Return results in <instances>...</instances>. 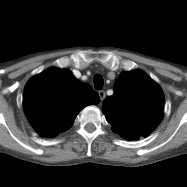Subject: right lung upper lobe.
I'll list each match as a JSON object with an SVG mask.
<instances>
[{"mask_svg": "<svg viewBox=\"0 0 187 187\" xmlns=\"http://www.w3.org/2000/svg\"><path fill=\"white\" fill-rule=\"evenodd\" d=\"M99 102L91 86L80 82L66 69H47L31 78L24 88L26 116L44 137H55L67 130L81 109Z\"/></svg>", "mask_w": 187, "mask_h": 187, "instance_id": "cb5924a9", "label": "right lung upper lobe"}]
</instances>
